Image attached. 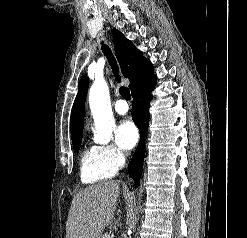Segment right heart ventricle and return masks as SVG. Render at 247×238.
<instances>
[{"instance_id": "e07e8e85", "label": "right heart ventricle", "mask_w": 247, "mask_h": 238, "mask_svg": "<svg viewBox=\"0 0 247 238\" xmlns=\"http://www.w3.org/2000/svg\"><path fill=\"white\" fill-rule=\"evenodd\" d=\"M80 179L83 184H96L112 178L116 169L105 159L102 149L98 145H88L80 156Z\"/></svg>"}]
</instances>
